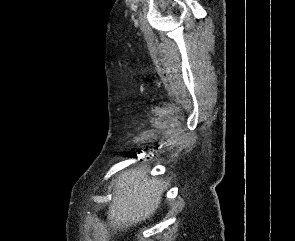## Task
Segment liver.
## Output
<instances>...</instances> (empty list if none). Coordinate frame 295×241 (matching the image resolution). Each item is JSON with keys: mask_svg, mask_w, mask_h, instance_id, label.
<instances>
[{"mask_svg": "<svg viewBox=\"0 0 295 241\" xmlns=\"http://www.w3.org/2000/svg\"><path fill=\"white\" fill-rule=\"evenodd\" d=\"M161 181L149 178L143 169L123 173L108 208V220L127 229L154 215L162 199Z\"/></svg>", "mask_w": 295, "mask_h": 241, "instance_id": "obj_1", "label": "liver"}]
</instances>
